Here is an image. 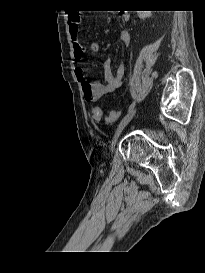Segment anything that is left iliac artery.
Returning a JSON list of instances; mask_svg holds the SVG:
<instances>
[{
	"mask_svg": "<svg viewBox=\"0 0 205 273\" xmlns=\"http://www.w3.org/2000/svg\"><path fill=\"white\" fill-rule=\"evenodd\" d=\"M135 107V101L131 103V105L128 108V112H130Z\"/></svg>",
	"mask_w": 205,
	"mask_h": 273,
	"instance_id": "obj_1",
	"label": "left iliac artery"
}]
</instances>
